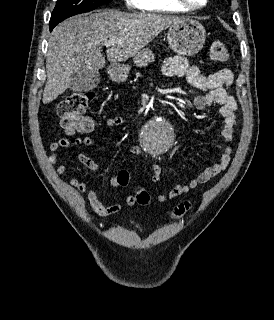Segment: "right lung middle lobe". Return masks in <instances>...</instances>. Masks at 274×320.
<instances>
[{
	"label": "right lung middle lobe",
	"instance_id": "obj_1",
	"mask_svg": "<svg viewBox=\"0 0 274 320\" xmlns=\"http://www.w3.org/2000/svg\"><path fill=\"white\" fill-rule=\"evenodd\" d=\"M112 0H58L52 12L49 25H57L73 15L85 13Z\"/></svg>",
	"mask_w": 274,
	"mask_h": 320
}]
</instances>
